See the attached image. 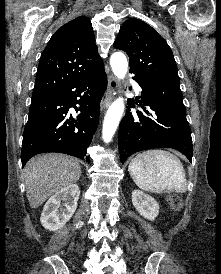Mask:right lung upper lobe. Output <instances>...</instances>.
I'll return each instance as SVG.
<instances>
[{
    "label": "right lung upper lobe",
    "mask_w": 221,
    "mask_h": 274,
    "mask_svg": "<svg viewBox=\"0 0 221 274\" xmlns=\"http://www.w3.org/2000/svg\"><path fill=\"white\" fill-rule=\"evenodd\" d=\"M90 20L80 16L60 27L44 49L32 97L51 93L104 68Z\"/></svg>",
    "instance_id": "1"
}]
</instances>
